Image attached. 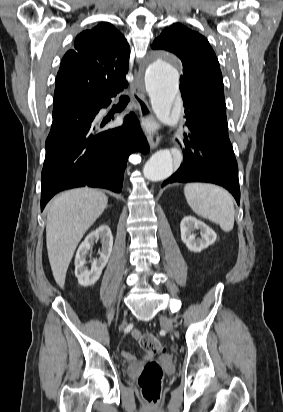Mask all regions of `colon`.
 I'll return each instance as SVG.
<instances>
[{"mask_svg": "<svg viewBox=\"0 0 283 412\" xmlns=\"http://www.w3.org/2000/svg\"><path fill=\"white\" fill-rule=\"evenodd\" d=\"M139 343L143 350L152 355L161 354L164 351V345L152 334H140ZM163 372L156 362H148L139 378L138 385L142 396L150 404H156L161 394Z\"/></svg>", "mask_w": 283, "mask_h": 412, "instance_id": "obj_1", "label": "colon"}]
</instances>
